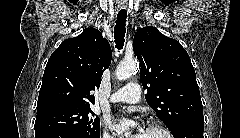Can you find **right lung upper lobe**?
<instances>
[{
    "instance_id": "cb5924a9",
    "label": "right lung upper lobe",
    "mask_w": 240,
    "mask_h": 138,
    "mask_svg": "<svg viewBox=\"0 0 240 138\" xmlns=\"http://www.w3.org/2000/svg\"><path fill=\"white\" fill-rule=\"evenodd\" d=\"M112 58L108 41L95 28L64 40L46 65L37 102V115L64 108H88Z\"/></svg>"
}]
</instances>
